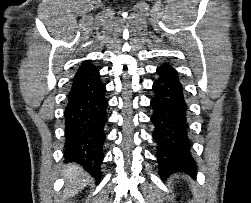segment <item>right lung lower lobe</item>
Wrapping results in <instances>:
<instances>
[{"mask_svg":"<svg viewBox=\"0 0 251 203\" xmlns=\"http://www.w3.org/2000/svg\"><path fill=\"white\" fill-rule=\"evenodd\" d=\"M105 93L99 70L92 66L72 80L64 111V157L80 163L97 181L104 158Z\"/></svg>","mask_w":251,"mask_h":203,"instance_id":"1","label":"right lung lower lobe"}]
</instances>
